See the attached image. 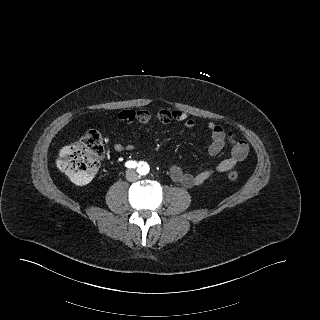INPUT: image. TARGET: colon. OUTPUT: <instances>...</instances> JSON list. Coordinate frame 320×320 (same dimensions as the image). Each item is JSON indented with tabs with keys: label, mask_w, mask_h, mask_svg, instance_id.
Segmentation results:
<instances>
[{
	"label": "colon",
	"mask_w": 320,
	"mask_h": 320,
	"mask_svg": "<svg viewBox=\"0 0 320 320\" xmlns=\"http://www.w3.org/2000/svg\"><path fill=\"white\" fill-rule=\"evenodd\" d=\"M104 153L101 134L96 130H89L78 142L60 150L57 165L72 181L85 184L97 172ZM227 177L234 181L238 178V174L235 171H230Z\"/></svg>",
	"instance_id": "obj_1"
}]
</instances>
